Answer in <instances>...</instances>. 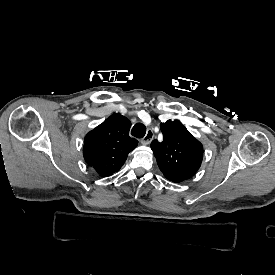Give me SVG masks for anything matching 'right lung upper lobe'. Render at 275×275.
<instances>
[{
  "instance_id": "obj_1",
  "label": "right lung upper lobe",
  "mask_w": 275,
  "mask_h": 275,
  "mask_svg": "<svg viewBox=\"0 0 275 275\" xmlns=\"http://www.w3.org/2000/svg\"><path fill=\"white\" fill-rule=\"evenodd\" d=\"M130 127L129 119L115 113L86 135L83 156L99 175L106 177L119 171L137 146L138 141L129 136Z\"/></svg>"
}]
</instances>
